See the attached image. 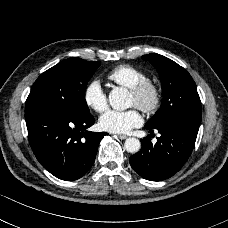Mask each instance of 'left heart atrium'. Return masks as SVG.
<instances>
[{"mask_svg":"<svg viewBox=\"0 0 228 228\" xmlns=\"http://www.w3.org/2000/svg\"><path fill=\"white\" fill-rule=\"evenodd\" d=\"M142 117L136 109L109 110L99 119L100 127L110 133L122 134L142 124Z\"/></svg>","mask_w":228,"mask_h":228,"instance_id":"obj_1","label":"left heart atrium"}]
</instances>
